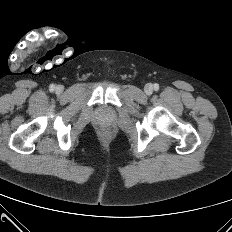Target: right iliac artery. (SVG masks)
<instances>
[{
    "label": "right iliac artery",
    "instance_id": "obj_1",
    "mask_svg": "<svg viewBox=\"0 0 232 232\" xmlns=\"http://www.w3.org/2000/svg\"><path fill=\"white\" fill-rule=\"evenodd\" d=\"M55 89V86L52 84L50 85V90L53 91Z\"/></svg>",
    "mask_w": 232,
    "mask_h": 232
}]
</instances>
